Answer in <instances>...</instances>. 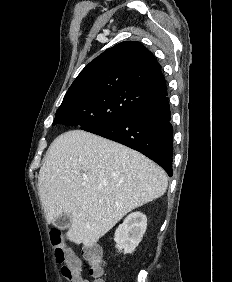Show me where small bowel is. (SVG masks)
Returning a JSON list of instances; mask_svg holds the SVG:
<instances>
[{
	"instance_id": "c3829d8e",
	"label": "small bowel",
	"mask_w": 232,
	"mask_h": 282,
	"mask_svg": "<svg viewBox=\"0 0 232 282\" xmlns=\"http://www.w3.org/2000/svg\"><path fill=\"white\" fill-rule=\"evenodd\" d=\"M73 254V253H72ZM74 255V254H73ZM75 256V255H74ZM75 257H77V256H75ZM77 259L79 260V258L77 257ZM75 282H89L88 280H86V279H84L83 277H82V274H81V278L78 280V281H75Z\"/></svg>"
}]
</instances>
